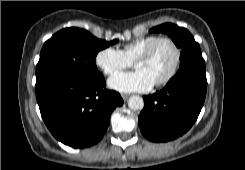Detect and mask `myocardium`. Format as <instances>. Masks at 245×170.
<instances>
[{
    "label": "myocardium",
    "mask_w": 245,
    "mask_h": 170,
    "mask_svg": "<svg viewBox=\"0 0 245 170\" xmlns=\"http://www.w3.org/2000/svg\"><path fill=\"white\" fill-rule=\"evenodd\" d=\"M160 42H168L172 46V48L174 50V54H175V59H174L173 66H172L171 70L169 71V73L164 78H162L161 80L154 82L155 86L166 85L176 75V73L179 69V66H180V62H181V50H180L179 46L177 45V43L172 38H170L168 36L158 37L154 41H152L143 51H141L134 60V65H136V63L138 61L143 60V59H147L152 54V52H153L154 48L157 46V44H159Z\"/></svg>",
    "instance_id": "obj_1"
}]
</instances>
